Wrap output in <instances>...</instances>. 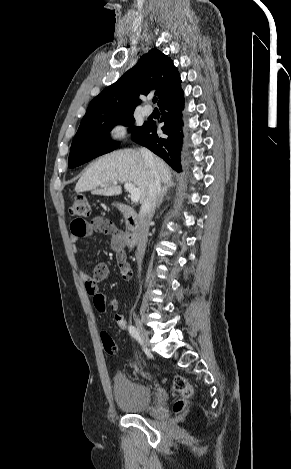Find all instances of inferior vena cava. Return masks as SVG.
Instances as JSON below:
<instances>
[{
  "instance_id": "inferior-vena-cava-1",
  "label": "inferior vena cava",
  "mask_w": 291,
  "mask_h": 469,
  "mask_svg": "<svg viewBox=\"0 0 291 469\" xmlns=\"http://www.w3.org/2000/svg\"><path fill=\"white\" fill-rule=\"evenodd\" d=\"M140 153L145 163L149 166L152 177L148 188V194L145 200L143 201L139 212L138 244L136 252L139 270L145 254L149 223L152 216L154 215L156 204L161 194V181L159 175L156 172L153 154L145 148H141Z\"/></svg>"
}]
</instances>
